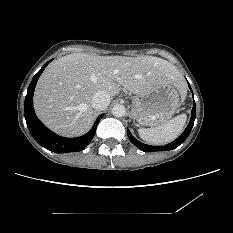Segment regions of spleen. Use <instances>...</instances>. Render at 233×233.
Here are the masks:
<instances>
[{"mask_svg":"<svg viewBox=\"0 0 233 233\" xmlns=\"http://www.w3.org/2000/svg\"><path fill=\"white\" fill-rule=\"evenodd\" d=\"M186 119V114H180L160 126L140 128L138 133L141 139L153 145L169 143L181 134Z\"/></svg>","mask_w":233,"mask_h":233,"instance_id":"1","label":"spleen"}]
</instances>
